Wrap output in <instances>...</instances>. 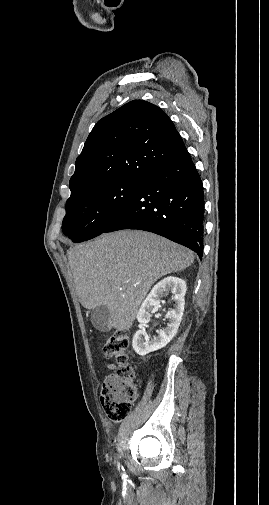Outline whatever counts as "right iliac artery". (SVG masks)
Here are the masks:
<instances>
[{
    "mask_svg": "<svg viewBox=\"0 0 269 505\" xmlns=\"http://www.w3.org/2000/svg\"><path fill=\"white\" fill-rule=\"evenodd\" d=\"M118 469L119 471L121 472L122 475H124V469L123 467L120 465V463H118Z\"/></svg>",
    "mask_w": 269,
    "mask_h": 505,
    "instance_id": "82829eb1",
    "label": "right iliac artery"
}]
</instances>
